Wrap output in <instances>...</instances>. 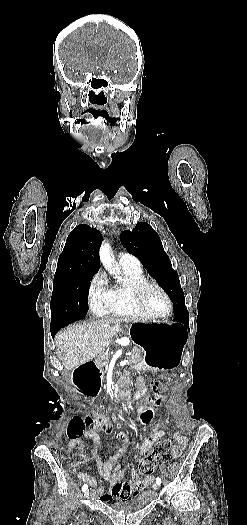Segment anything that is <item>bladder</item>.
<instances>
[{
  "instance_id": "31cf9c89",
  "label": "bladder",
  "mask_w": 247,
  "mask_h": 525,
  "mask_svg": "<svg viewBox=\"0 0 247 525\" xmlns=\"http://www.w3.org/2000/svg\"><path fill=\"white\" fill-rule=\"evenodd\" d=\"M146 495L140 494L137 498L115 501L109 504V508L116 512L131 514L146 508Z\"/></svg>"
}]
</instances>
